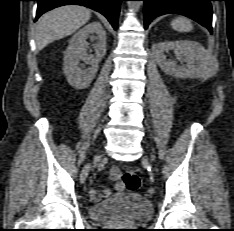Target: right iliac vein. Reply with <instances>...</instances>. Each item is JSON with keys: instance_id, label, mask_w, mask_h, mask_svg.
<instances>
[{"instance_id": "1", "label": "right iliac vein", "mask_w": 234, "mask_h": 231, "mask_svg": "<svg viewBox=\"0 0 234 231\" xmlns=\"http://www.w3.org/2000/svg\"><path fill=\"white\" fill-rule=\"evenodd\" d=\"M103 156H104L103 154L99 155L95 160V164H97L103 158ZM90 168H91V165L89 163L84 166V168L81 172V175H80V182L81 183H83L86 180Z\"/></svg>"}]
</instances>
